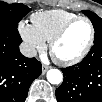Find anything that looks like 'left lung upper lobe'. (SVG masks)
<instances>
[{
  "instance_id": "left-lung-upper-lobe-1",
  "label": "left lung upper lobe",
  "mask_w": 102,
  "mask_h": 102,
  "mask_svg": "<svg viewBox=\"0 0 102 102\" xmlns=\"http://www.w3.org/2000/svg\"><path fill=\"white\" fill-rule=\"evenodd\" d=\"M86 16L90 18L95 30V38L94 43L98 41H102V19L98 17L95 13L91 11H82Z\"/></svg>"
}]
</instances>
